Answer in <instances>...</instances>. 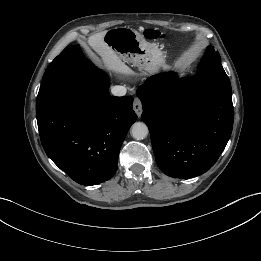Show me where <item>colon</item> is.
Here are the masks:
<instances>
[{
	"label": "colon",
	"instance_id": "1",
	"mask_svg": "<svg viewBox=\"0 0 261 261\" xmlns=\"http://www.w3.org/2000/svg\"><path fill=\"white\" fill-rule=\"evenodd\" d=\"M144 34L146 38L151 40L164 38V35L160 31L154 29H147Z\"/></svg>",
	"mask_w": 261,
	"mask_h": 261
}]
</instances>
